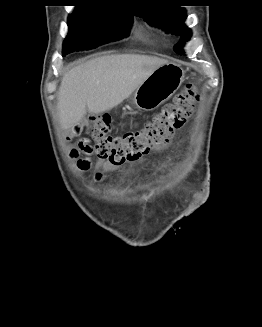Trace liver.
Masks as SVG:
<instances>
[{"mask_svg": "<svg viewBox=\"0 0 262 327\" xmlns=\"http://www.w3.org/2000/svg\"><path fill=\"white\" fill-rule=\"evenodd\" d=\"M166 63L147 55L115 54L74 67L62 78L58 92L61 127L72 128L87 112L100 114L116 107Z\"/></svg>", "mask_w": 262, "mask_h": 327, "instance_id": "obj_1", "label": "liver"}]
</instances>
